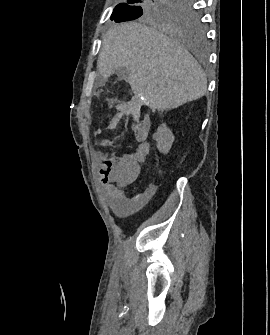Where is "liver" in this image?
I'll use <instances>...</instances> for the list:
<instances>
[{
    "instance_id": "liver-1",
    "label": "liver",
    "mask_w": 270,
    "mask_h": 335,
    "mask_svg": "<svg viewBox=\"0 0 270 335\" xmlns=\"http://www.w3.org/2000/svg\"><path fill=\"white\" fill-rule=\"evenodd\" d=\"M103 78L127 68L134 94L151 110L178 108L207 92L206 76L183 46L145 24L109 28L97 60Z\"/></svg>"
}]
</instances>
